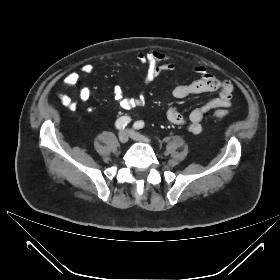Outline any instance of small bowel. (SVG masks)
<instances>
[{"label":"small bowel","instance_id":"c3829d8e","mask_svg":"<svg viewBox=\"0 0 280 280\" xmlns=\"http://www.w3.org/2000/svg\"><path fill=\"white\" fill-rule=\"evenodd\" d=\"M138 60L146 66L145 83L149 84L154 81L159 75L165 71H173L175 62L172 57L157 50L147 52H139ZM199 78L188 84H178L173 88V95L176 98H184L189 95L203 94L208 92H218V96L213 98L203 105L193 109L188 119L177 108H169L166 111V118L173 124H187L188 130L192 134H200L202 131V122L206 113L212 110L224 111L232 106V91L233 85L229 80L220 79L219 77L209 73L205 66L197 65L194 68ZM94 71L92 63H85L81 67L83 75H91ZM80 79V74L77 71L69 73L65 81L70 86H75ZM79 99L82 102H87L91 97V91L88 87H81L78 92ZM114 97L119 107L123 110H130L140 106L144 102V95L140 93L136 97L124 96L120 87L114 88ZM67 106L71 110L78 108L76 101L70 100Z\"/></svg>","mask_w":280,"mask_h":280}]
</instances>
